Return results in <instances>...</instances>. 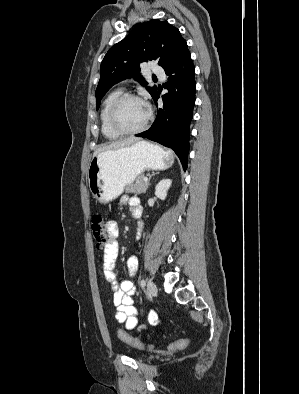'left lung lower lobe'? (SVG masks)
Here are the masks:
<instances>
[{
    "label": "left lung lower lobe",
    "mask_w": 299,
    "mask_h": 394,
    "mask_svg": "<svg viewBox=\"0 0 299 394\" xmlns=\"http://www.w3.org/2000/svg\"><path fill=\"white\" fill-rule=\"evenodd\" d=\"M164 70L169 77L164 84L168 92L162 96L163 105L158 109L153 125L136 136L172 148L186 170L189 125L193 116L196 88L195 69L187 44L176 60ZM159 97L157 91L153 97L156 105Z\"/></svg>",
    "instance_id": "obj_1"
}]
</instances>
